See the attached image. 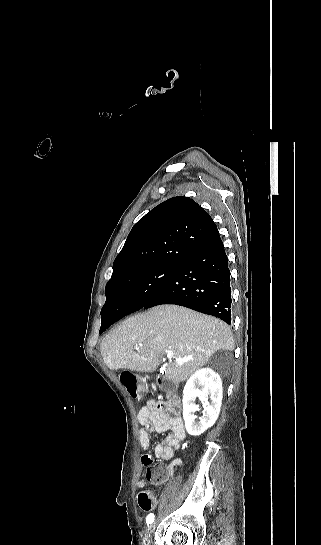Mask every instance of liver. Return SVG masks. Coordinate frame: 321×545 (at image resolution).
<instances>
[{"instance_id": "obj_1", "label": "liver", "mask_w": 321, "mask_h": 545, "mask_svg": "<svg viewBox=\"0 0 321 545\" xmlns=\"http://www.w3.org/2000/svg\"><path fill=\"white\" fill-rule=\"evenodd\" d=\"M137 343H142V347L135 353ZM234 349L233 335L226 323L178 305H158L129 317L108 333L100 345L103 361L111 371L153 373L166 351H173L174 359H170L165 371V377L171 381H186L208 363L213 353ZM176 357L194 361L177 363Z\"/></svg>"}]
</instances>
